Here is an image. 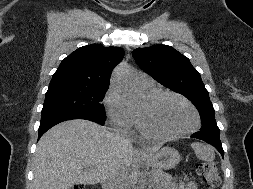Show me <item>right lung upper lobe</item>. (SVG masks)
<instances>
[{
    "mask_svg": "<svg viewBox=\"0 0 253 189\" xmlns=\"http://www.w3.org/2000/svg\"><path fill=\"white\" fill-rule=\"evenodd\" d=\"M120 47L87 45L62 60L54 73L50 88L62 86H102L109 87L111 71L123 59Z\"/></svg>",
    "mask_w": 253,
    "mask_h": 189,
    "instance_id": "obj_1",
    "label": "right lung upper lobe"
}]
</instances>
